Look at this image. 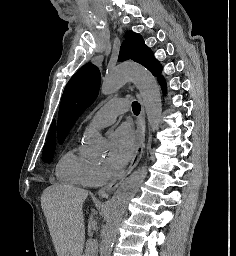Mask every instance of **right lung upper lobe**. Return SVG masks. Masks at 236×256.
Listing matches in <instances>:
<instances>
[{
  "mask_svg": "<svg viewBox=\"0 0 236 256\" xmlns=\"http://www.w3.org/2000/svg\"><path fill=\"white\" fill-rule=\"evenodd\" d=\"M47 142H56V127L55 122L53 123Z\"/></svg>",
  "mask_w": 236,
  "mask_h": 256,
  "instance_id": "1",
  "label": "right lung upper lobe"
}]
</instances>
